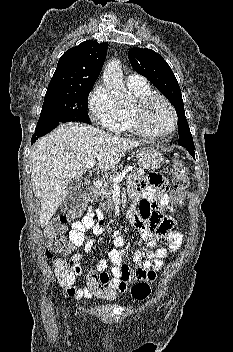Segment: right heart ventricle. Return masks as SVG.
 Masks as SVG:
<instances>
[{
  "instance_id": "right-heart-ventricle-1",
  "label": "right heart ventricle",
  "mask_w": 233,
  "mask_h": 352,
  "mask_svg": "<svg viewBox=\"0 0 233 352\" xmlns=\"http://www.w3.org/2000/svg\"><path fill=\"white\" fill-rule=\"evenodd\" d=\"M129 89L134 94L137 101L152 94V91L147 84L144 86L129 87ZM119 132L141 135L136 129V126L134 123L132 107L122 108V122H121V128Z\"/></svg>"
}]
</instances>
